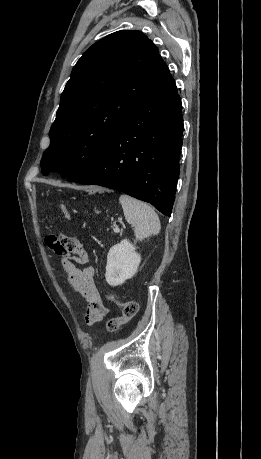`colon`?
<instances>
[{
  "label": "colon",
  "instance_id": "5ec220e1",
  "mask_svg": "<svg viewBox=\"0 0 261 459\" xmlns=\"http://www.w3.org/2000/svg\"><path fill=\"white\" fill-rule=\"evenodd\" d=\"M59 210L65 219L70 218V213L65 204L59 205ZM107 299L121 307L122 315L111 318L107 321V329L110 332H116L121 326L130 322L138 312V303L135 301L119 302L114 294H108Z\"/></svg>",
  "mask_w": 261,
  "mask_h": 459
}]
</instances>
